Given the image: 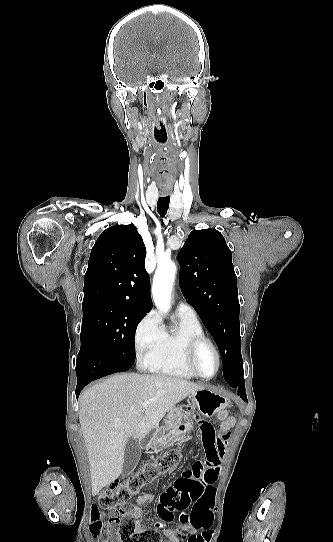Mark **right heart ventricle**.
<instances>
[{
    "label": "right heart ventricle",
    "mask_w": 333,
    "mask_h": 542,
    "mask_svg": "<svg viewBox=\"0 0 333 542\" xmlns=\"http://www.w3.org/2000/svg\"><path fill=\"white\" fill-rule=\"evenodd\" d=\"M176 317L177 323L170 330L162 326L164 335L159 343L138 351V363L145 371L192 379L194 375L184 362V350L191 339L204 336V331L198 319H189L177 313Z\"/></svg>",
    "instance_id": "1"
}]
</instances>
